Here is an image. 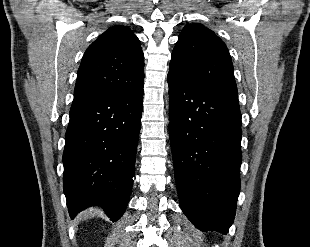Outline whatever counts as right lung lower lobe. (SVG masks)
<instances>
[{"mask_svg":"<svg viewBox=\"0 0 310 247\" xmlns=\"http://www.w3.org/2000/svg\"><path fill=\"white\" fill-rule=\"evenodd\" d=\"M143 85L73 100L63 153L64 194L71 218L94 205L112 221L125 212L134 177Z\"/></svg>","mask_w":310,"mask_h":247,"instance_id":"obj_1","label":"right lung lower lobe"}]
</instances>
